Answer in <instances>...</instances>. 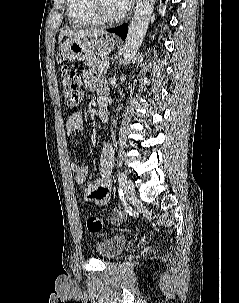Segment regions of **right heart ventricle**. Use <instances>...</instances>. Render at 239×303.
I'll list each match as a JSON object with an SVG mask.
<instances>
[{
  "label": "right heart ventricle",
  "instance_id": "obj_1",
  "mask_svg": "<svg viewBox=\"0 0 239 303\" xmlns=\"http://www.w3.org/2000/svg\"><path fill=\"white\" fill-rule=\"evenodd\" d=\"M66 11L75 27H93L98 24L89 10V0H66Z\"/></svg>",
  "mask_w": 239,
  "mask_h": 303
}]
</instances>
